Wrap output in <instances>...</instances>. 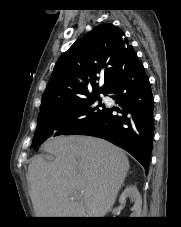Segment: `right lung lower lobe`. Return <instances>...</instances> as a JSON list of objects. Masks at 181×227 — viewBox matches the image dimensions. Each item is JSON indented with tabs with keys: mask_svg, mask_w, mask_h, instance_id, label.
<instances>
[{
	"mask_svg": "<svg viewBox=\"0 0 181 227\" xmlns=\"http://www.w3.org/2000/svg\"><path fill=\"white\" fill-rule=\"evenodd\" d=\"M122 110L113 115L105 109L91 126L76 134L106 139L133 155L147 171L154 137L153 95L150 82L137 56L131 58L122 75L107 91Z\"/></svg>",
	"mask_w": 181,
	"mask_h": 227,
	"instance_id": "right-lung-lower-lobe-1",
	"label": "right lung lower lobe"
}]
</instances>
